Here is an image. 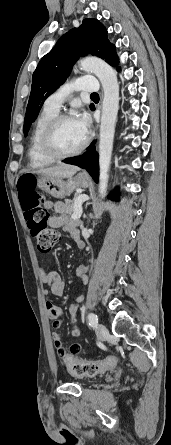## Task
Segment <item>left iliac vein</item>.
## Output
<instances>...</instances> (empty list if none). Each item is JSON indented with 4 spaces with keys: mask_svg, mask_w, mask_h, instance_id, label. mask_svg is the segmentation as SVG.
<instances>
[{
    "mask_svg": "<svg viewBox=\"0 0 171 445\" xmlns=\"http://www.w3.org/2000/svg\"><path fill=\"white\" fill-rule=\"evenodd\" d=\"M96 333L101 339H105L108 336L106 326L101 323L96 326Z\"/></svg>",
    "mask_w": 171,
    "mask_h": 445,
    "instance_id": "obj_1",
    "label": "left iliac vein"
}]
</instances>
